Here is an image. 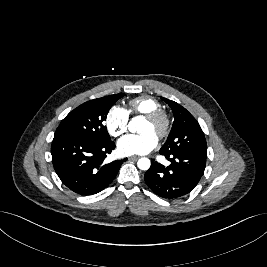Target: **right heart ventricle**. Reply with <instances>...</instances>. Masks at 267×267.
Segmentation results:
<instances>
[{
    "mask_svg": "<svg viewBox=\"0 0 267 267\" xmlns=\"http://www.w3.org/2000/svg\"><path fill=\"white\" fill-rule=\"evenodd\" d=\"M160 109V102L151 96H139L128 102V112L135 115H147Z\"/></svg>",
    "mask_w": 267,
    "mask_h": 267,
    "instance_id": "1",
    "label": "right heart ventricle"
}]
</instances>
